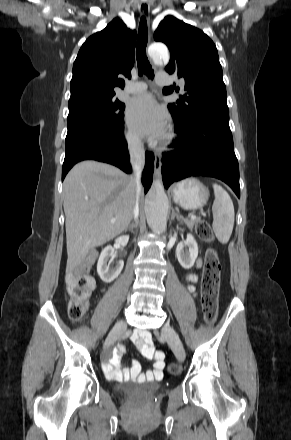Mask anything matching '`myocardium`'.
Segmentation results:
<instances>
[{"label": "myocardium", "mask_w": 291, "mask_h": 440, "mask_svg": "<svg viewBox=\"0 0 291 440\" xmlns=\"http://www.w3.org/2000/svg\"><path fill=\"white\" fill-rule=\"evenodd\" d=\"M171 138H172V136L170 134L165 135L162 139V144L165 145V144L169 143Z\"/></svg>", "instance_id": "obj_1"}]
</instances>
